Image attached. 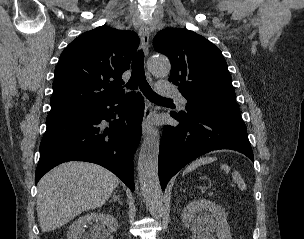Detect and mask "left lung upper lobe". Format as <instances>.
I'll list each match as a JSON object with an SVG mask.
<instances>
[{
	"instance_id": "1",
	"label": "left lung upper lobe",
	"mask_w": 304,
	"mask_h": 239,
	"mask_svg": "<svg viewBox=\"0 0 304 239\" xmlns=\"http://www.w3.org/2000/svg\"><path fill=\"white\" fill-rule=\"evenodd\" d=\"M157 52L171 62L169 81L186 98L182 116L220 115L241 118L227 63L209 40L193 31L164 29L153 40Z\"/></svg>"
}]
</instances>
